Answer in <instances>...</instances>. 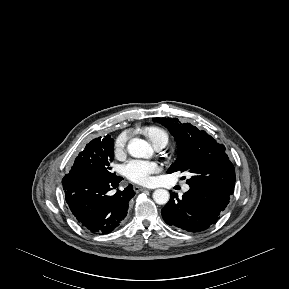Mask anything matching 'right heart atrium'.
Listing matches in <instances>:
<instances>
[{"mask_svg":"<svg viewBox=\"0 0 289 289\" xmlns=\"http://www.w3.org/2000/svg\"><path fill=\"white\" fill-rule=\"evenodd\" d=\"M128 135L127 133H121L115 140L114 149L116 154H121L126 146Z\"/></svg>","mask_w":289,"mask_h":289,"instance_id":"right-heart-atrium-1","label":"right heart atrium"}]
</instances>
